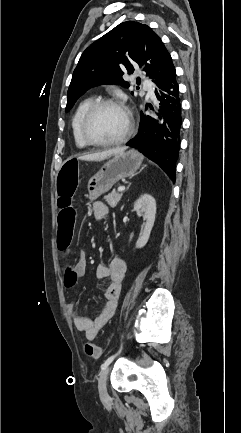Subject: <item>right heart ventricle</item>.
<instances>
[{
    "mask_svg": "<svg viewBox=\"0 0 241 433\" xmlns=\"http://www.w3.org/2000/svg\"><path fill=\"white\" fill-rule=\"evenodd\" d=\"M94 102L92 97L82 99L77 105L72 117V134L75 145L78 148H86L89 144L84 140L81 133V121L89 106Z\"/></svg>",
    "mask_w": 241,
    "mask_h": 433,
    "instance_id": "right-heart-ventricle-1",
    "label": "right heart ventricle"
}]
</instances>
